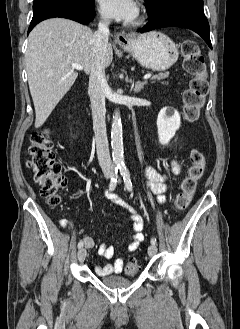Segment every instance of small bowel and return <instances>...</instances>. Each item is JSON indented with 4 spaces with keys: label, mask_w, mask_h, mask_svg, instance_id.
I'll use <instances>...</instances> for the list:
<instances>
[{
    "label": "small bowel",
    "mask_w": 240,
    "mask_h": 329,
    "mask_svg": "<svg viewBox=\"0 0 240 329\" xmlns=\"http://www.w3.org/2000/svg\"><path fill=\"white\" fill-rule=\"evenodd\" d=\"M171 170L174 174H178L180 168L177 164L174 163ZM145 176L149 189L152 192L158 194L159 200L163 202L165 200V193L170 189V185L167 183V175L157 171L153 167L147 166L145 168ZM108 197L113 204L126 208L130 212L129 219L132 223L133 235L129 245L127 246V251L133 252L145 239V235L143 233L144 221L141 215L135 210V208L132 207L124 199L117 196L116 194H108ZM62 225L64 226L65 224L63 223ZM84 243L87 248H93L95 245L93 238L89 235L84 236ZM97 252L101 257L111 259L114 257L115 249L111 245L101 244L98 246ZM123 267L124 259L117 258L112 263L106 264L104 266H96L95 272L99 276H108L111 274L121 273Z\"/></svg>",
    "instance_id": "1"
}]
</instances>
